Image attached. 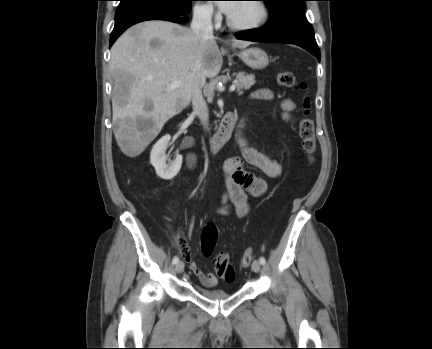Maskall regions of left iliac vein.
<instances>
[{"instance_id": "4c4485c4", "label": "left iliac vein", "mask_w": 432, "mask_h": 349, "mask_svg": "<svg viewBox=\"0 0 432 349\" xmlns=\"http://www.w3.org/2000/svg\"><path fill=\"white\" fill-rule=\"evenodd\" d=\"M260 269H261V264H260V262H259L258 260H255V261L253 262V264H252V270H253L254 272H259Z\"/></svg>"}]
</instances>
